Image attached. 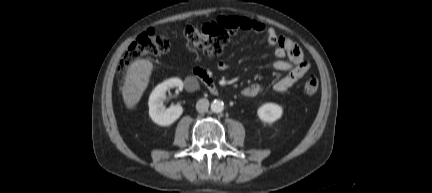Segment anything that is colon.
Listing matches in <instances>:
<instances>
[{
	"label": "colon",
	"instance_id": "1",
	"mask_svg": "<svg viewBox=\"0 0 432 193\" xmlns=\"http://www.w3.org/2000/svg\"><path fill=\"white\" fill-rule=\"evenodd\" d=\"M233 29L221 21H212L200 27L188 26L185 29L186 44L189 49L201 50L208 56H220L229 41ZM169 50V41L153 30H148L131 43L119 63V71L126 72L138 58L164 54ZM319 87L318 79L309 75L303 85L306 95H314Z\"/></svg>",
	"mask_w": 432,
	"mask_h": 193
}]
</instances>
